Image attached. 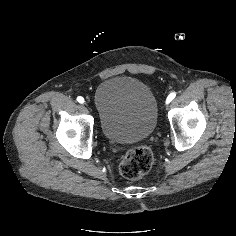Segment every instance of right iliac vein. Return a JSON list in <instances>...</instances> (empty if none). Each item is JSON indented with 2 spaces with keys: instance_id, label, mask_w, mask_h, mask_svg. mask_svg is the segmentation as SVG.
<instances>
[{
  "instance_id": "63e3f726",
  "label": "right iliac vein",
  "mask_w": 236,
  "mask_h": 236,
  "mask_svg": "<svg viewBox=\"0 0 236 236\" xmlns=\"http://www.w3.org/2000/svg\"><path fill=\"white\" fill-rule=\"evenodd\" d=\"M83 107L87 110V111H92V113H93V107L88 103V102H85L84 104H83Z\"/></svg>"
}]
</instances>
